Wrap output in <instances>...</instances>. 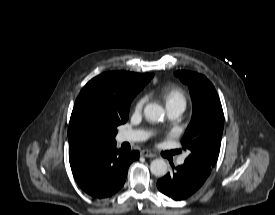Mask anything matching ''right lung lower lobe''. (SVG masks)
<instances>
[{
  "instance_id": "1",
  "label": "right lung lower lobe",
  "mask_w": 275,
  "mask_h": 215,
  "mask_svg": "<svg viewBox=\"0 0 275 215\" xmlns=\"http://www.w3.org/2000/svg\"><path fill=\"white\" fill-rule=\"evenodd\" d=\"M138 151L116 149V142L94 143L69 151L73 176L80 188L94 198H106L125 183L129 165Z\"/></svg>"
}]
</instances>
